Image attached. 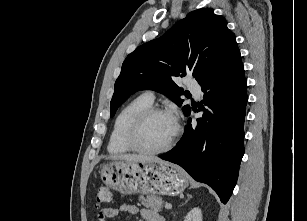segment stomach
Returning a JSON list of instances; mask_svg holds the SVG:
<instances>
[{"mask_svg": "<svg viewBox=\"0 0 307 221\" xmlns=\"http://www.w3.org/2000/svg\"><path fill=\"white\" fill-rule=\"evenodd\" d=\"M101 179L122 194L177 195L189 185L185 172L165 161H114L102 167Z\"/></svg>", "mask_w": 307, "mask_h": 221, "instance_id": "1", "label": "stomach"}]
</instances>
